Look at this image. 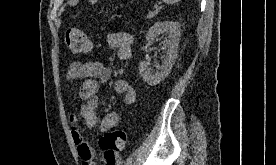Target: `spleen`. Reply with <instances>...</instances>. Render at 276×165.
<instances>
[{
  "label": "spleen",
  "instance_id": "spleen-1",
  "mask_svg": "<svg viewBox=\"0 0 276 165\" xmlns=\"http://www.w3.org/2000/svg\"><path fill=\"white\" fill-rule=\"evenodd\" d=\"M167 4H173L175 2H178L179 0H163Z\"/></svg>",
  "mask_w": 276,
  "mask_h": 165
}]
</instances>
